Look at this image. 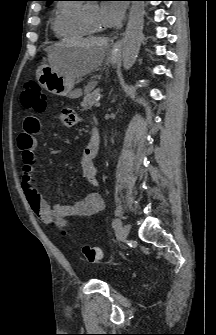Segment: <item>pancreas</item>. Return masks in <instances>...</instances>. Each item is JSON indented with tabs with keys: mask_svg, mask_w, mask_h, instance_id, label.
<instances>
[{
	"mask_svg": "<svg viewBox=\"0 0 216 335\" xmlns=\"http://www.w3.org/2000/svg\"><path fill=\"white\" fill-rule=\"evenodd\" d=\"M99 92H100L99 89H96V90L91 92L90 88L87 87L85 89V97H84L83 101L81 102V107L84 110L91 109L93 107V105H95V103H96V100L99 96Z\"/></svg>",
	"mask_w": 216,
	"mask_h": 335,
	"instance_id": "cf45deb5",
	"label": "pancreas"
}]
</instances>
